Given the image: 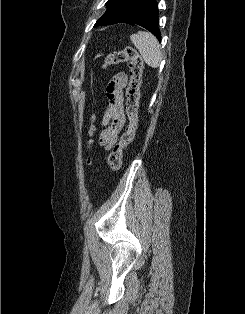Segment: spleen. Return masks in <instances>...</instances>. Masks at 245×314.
<instances>
[{
	"label": "spleen",
	"instance_id": "1",
	"mask_svg": "<svg viewBox=\"0 0 245 314\" xmlns=\"http://www.w3.org/2000/svg\"><path fill=\"white\" fill-rule=\"evenodd\" d=\"M130 40L138 49L145 63L152 67L158 68L161 63V50L159 42L154 35L149 32L139 31L130 36Z\"/></svg>",
	"mask_w": 245,
	"mask_h": 314
}]
</instances>
